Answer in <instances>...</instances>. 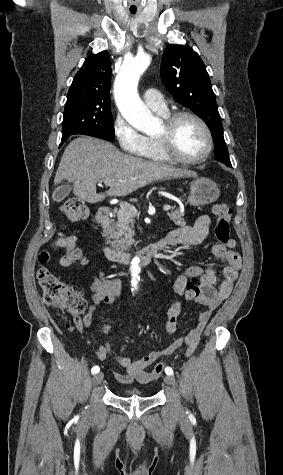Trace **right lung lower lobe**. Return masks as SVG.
Segmentation results:
<instances>
[{
    "label": "right lung lower lobe",
    "mask_w": 283,
    "mask_h": 475,
    "mask_svg": "<svg viewBox=\"0 0 283 475\" xmlns=\"http://www.w3.org/2000/svg\"><path fill=\"white\" fill-rule=\"evenodd\" d=\"M69 138V136H62L61 144L60 146Z\"/></svg>",
    "instance_id": "obj_1"
}]
</instances>
